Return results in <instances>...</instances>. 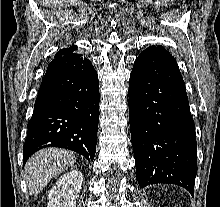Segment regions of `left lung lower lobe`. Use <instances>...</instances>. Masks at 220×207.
Listing matches in <instances>:
<instances>
[{
    "mask_svg": "<svg viewBox=\"0 0 220 207\" xmlns=\"http://www.w3.org/2000/svg\"><path fill=\"white\" fill-rule=\"evenodd\" d=\"M129 122L138 184L179 185L194 194L196 136L182 75L173 56L151 46L136 58Z\"/></svg>",
    "mask_w": 220,
    "mask_h": 207,
    "instance_id": "left-lung-lower-lobe-1",
    "label": "left lung lower lobe"
}]
</instances>
